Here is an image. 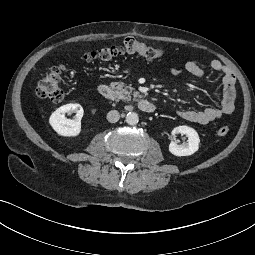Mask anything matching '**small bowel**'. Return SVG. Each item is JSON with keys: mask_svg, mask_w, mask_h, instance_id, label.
<instances>
[{"mask_svg": "<svg viewBox=\"0 0 255 255\" xmlns=\"http://www.w3.org/2000/svg\"><path fill=\"white\" fill-rule=\"evenodd\" d=\"M210 67L223 75V96L220 106L207 107L202 110H178L177 114L182 119L205 125L233 113L236 98V76L220 60H212L210 62ZM170 72L173 75H180L187 72L201 79L206 76L204 69L196 61H188L183 66H174L170 69Z\"/></svg>", "mask_w": 255, "mask_h": 255, "instance_id": "c3829d8e", "label": "small bowel"}]
</instances>
